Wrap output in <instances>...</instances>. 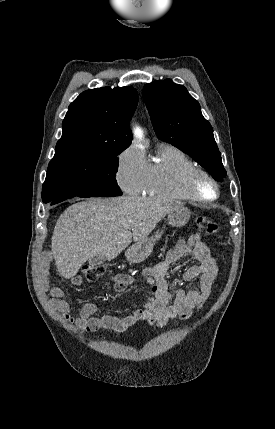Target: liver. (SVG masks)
I'll return each mask as SVG.
<instances>
[{"label": "liver", "mask_w": 275, "mask_h": 429, "mask_svg": "<svg viewBox=\"0 0 275 429\" xmlns=\"http://www.w3.org/2000/svg\"><path fill=\"white\" fill-rule=\"evenodd\" d=\"M179 206L173 200L133 196L88 198L69 206L58 218L52 235L58 272L70 279L96 255L113 260L132 239L138 242L147 238L158 222Z\"/></svg>", "instance_id": "1"}]
</instances>
